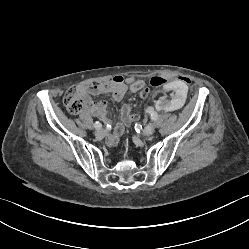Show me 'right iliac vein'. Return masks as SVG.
I'll return each mask as SVG.
<instances>
[{"label":"right iliac vein","mask_w":249,"mask_h":249,"mask_svg":"<svg viewBox=\"0 0 249 249\" xmlns=\"http://www.w3.org/2000/svg\"><path fill=\"white\" fill-rule=\"evenodd\" d=\"M106 135V131L104 130V129H97L96 131H95V136L97 137V138H103L104 136Z\"/></svg>","instance_id":"right-iliac-vein-1"}]
</instances>
